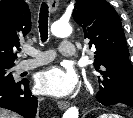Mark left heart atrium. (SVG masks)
<instances>
[{"label": "left heart atrium", "mask_w": 133, "mask_h": 118, "mask_svg": "<svg viewBox=\"0 0 133 118\" xmlns=\"http://www.w3.org/2000/svg\"><path fill=\"white\" fill-rule=\"evenodd\" d=\"M77 83L75 73L61 66H52L41 71L36 77V89L39 93L63 97L70 94Z\"/></svg>", "instance_id": "1"}]
</instances>
